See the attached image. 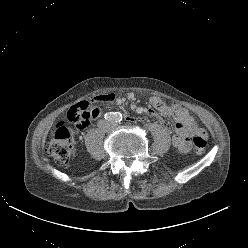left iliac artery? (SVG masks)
Listing matches in <instances>:
<instances>
[{
  "instance_id": "44dca946",
  "label": "left iliac artery",
  "mask_w": 248,
  "mask_h": 248,
  "mask_svg": "<svg viewBox=\"0 0 248 248\" xmlns=\"http://www.w3.org/2000/svg\"><path fill=\"white\" fill-rule=\"evenodd\" d=\"M114 119L116 122L122 121V114L119 112L114 113Z\"/></svg>"
}]
</instances>
